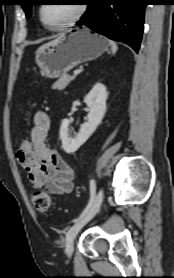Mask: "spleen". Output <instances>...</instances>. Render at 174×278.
I'll list each match as a JSON object with an SVG mask.
<instances>
[{"label":"spleen","instance_id":"3e777b00","mask_svg":"<svg viewBox=\"0 0 174 278\" xmlns=\"http://www.w3.org/2000/svg\"><path fill=\"white\" fill-rule=\"evenodd\" d=\"M109 44L111 46L112 54L116 53V51L118 50L117 44L112 40H109Z\"/></svg>","mask_w":174,"mask_h":278}]
</instances>
